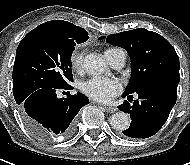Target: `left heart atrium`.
<instances>
[{"label": "left heart atrium", "mask_w": 190, "mask_h": 165, "mask_svg": "<svg viewBox=\"0 0 190 165\" xmlns=\"http://www.w3.org/2000/svg\"><path fill=\"white\" fill-rule=\"evenodd\" d=\"M80 88L86 96L98 102H108L122 91L117 79L104 77H92L82 82Z\"/></svg>", "instance_id": "left-heart-atrium-1"}]
</instances>
